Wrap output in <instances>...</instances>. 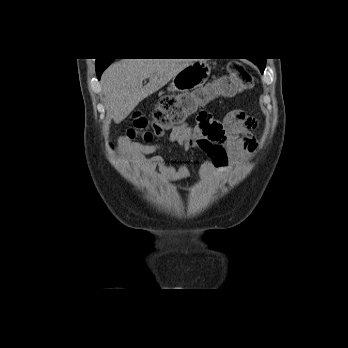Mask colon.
I'll return each instance as SVG.
<instances>
[{"mask_svg":"<svg viewBox=\"0 0 348 348\" xmlns=\"http://www.w3.org/2000/svg\"><path fill=\"white\" fill-rule=\"evenodd\" d=\"M255 82V77L245 66L232 62L228 66V76L220 78L213 88L221 95H233L251 89ZM193 109L194 106L189 96L164 95L159 99L149 118L139 112L133 115L127 137L151 141L172 127L181 124Z\"/></svg>","mask_w":348,"mask_h":348,"instance_id":"1","label":"colon"}]
</instances>
